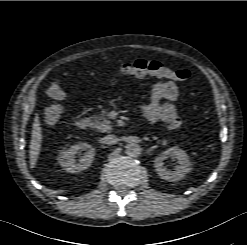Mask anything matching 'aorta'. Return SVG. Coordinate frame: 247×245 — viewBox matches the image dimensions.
<instances>
[{"label":"aorta","instance_id":"762f6f07","mask_svg":"<svg viewBox=\"0 0 247 245\" xmlns=\"http://www.w3.org/2000/svg\"><path fill=\"white\" fill-rule=\"evenodd\" d=\"M140 153H141L140 145L136 143H131V144L126 145V154L129 157H137L140 155Z\"/></svg>","mask_w":247,"mask_h":245}]
</instances>
